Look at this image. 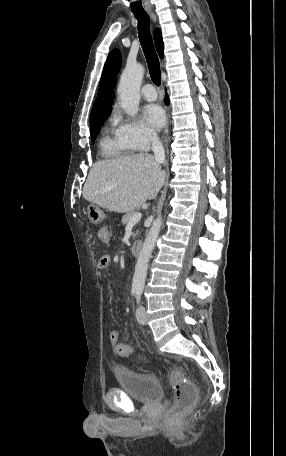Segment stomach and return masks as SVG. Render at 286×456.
<instances>
[{"mask_svg":"<svg viewBox=\"0 0 286 456\" xmlns=\"http://www.w3.org/2000/svg\"><path fill=\"white\" fill-rule=\"evenodd\" d=\"M87 215L89 220L94 224L100 223L105 218L104 212L94 204H91L87 208Z\"/></svg>","mask_w":286,"mask_h":456,"instance_id":"0dacf381","label":"stomach"}]
</instances>
